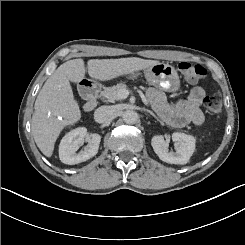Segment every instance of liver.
I'll return each mask as SVG.
<instances>
[{"label":"liver","instance_id":"liver-1","mask_svg":"<svg viewBox=\"0 0 245 245\" xmlns=\"http://www.w3.org/2000/svg\"><path fill=\"white\" fill-rule=\"evenodd\" d=\"M156 60L137 57L120 59H91L88 61V74L101 81L111 80L121 75L131 74L158 64ZM85 76L83 59L69 60L60 65L46 80L35 101L32 116V134L40 151L51 157L54 144L67 125H73L81 118V112L74 100L70 81L80 82ZM50 110L51 116L46 112ZM61 116L62 120L55 119Z\"/></svg>","mask_w":245,"mask_h":245}]
</instances>
